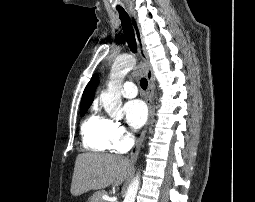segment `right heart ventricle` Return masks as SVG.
Returning <instances> with one entry per match:
<instances>
[{
    "instance_id": "1",
    "label": "right heart ventricle",
    "mask_w": 255,
    "mask_h": 202,
    "mask_svg": "<svg viewBox=\"0 0 255 202\" xmlns=\"http://www.w3.org/2000/svg\"><path fill=\"white\" fill-rule=\"evenodd\" d=\"M110 127L111 120L93 110L84 120L81 127L84 146L97 152L110 150L112 148Z\"/></svg>"
}]
</instances>
